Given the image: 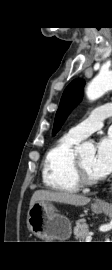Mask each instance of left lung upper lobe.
Here are the masks:
<instances>
[{
    "label": "left lung upper lobe",
    "instance_id": "1",
    "mask_svg": "<svg viewBox=\"0 0 112 270\" xmlns=\"http://www.w3.org/2000/svg\"><path fill=\"white\" fill-rule=\"evenodd\" d=\"M84 83L82 79H75L66 87L56 113L53 134L60 129L75 105L82 100Z\"/></svg>",
    "mask_w": 112,
    "mask_h": 270
}]
</instances>
